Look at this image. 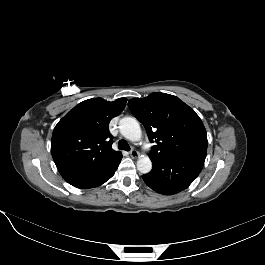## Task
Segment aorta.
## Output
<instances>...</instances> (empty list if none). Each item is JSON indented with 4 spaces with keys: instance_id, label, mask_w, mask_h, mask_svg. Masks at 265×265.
Wrapping results in <instances>:
<instances>
[{
    "instance_id": "762f6f07",
    "label": "aorta",
    "mask_w": 265,
    "mask_h": 265,
    "mask_svg": "<svg viewBox=\"0 0 265 265\" xmlns=\"http://www.w3.org/2000/svg\"><path fill=\"white\" fill-rule=\"evenodd\" d=\"M120 133L130 141L141 139L142 132L138 121L132 117H124L119 122ZM137 169L142 174L149 173L152 169V162L147 155L139 156L137 160Z\"/></svg>"
}]
</instances>
